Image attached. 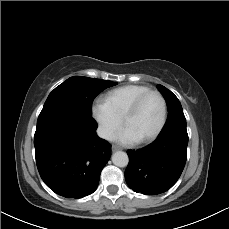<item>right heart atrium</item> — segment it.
I'll list each match as a JSON object with an SVG mask.
<instances>
[{
    "mask_svg": "<svg viewBox=\"0 0 229 229\" xmlns=\"http://www.w3.org/2000/svg\"><path fill=\"white\" fill-rule=\"evenodd\" d=\"M91 111L102 136L107 140H112L121 128V119L110 110L102 99L93 102Z\"/></svg>",
    "mask_w": 229,
    "mask_h": 229,
    "instance_id": "1",
    "label": "right heart atrium"
}]
</instances>
